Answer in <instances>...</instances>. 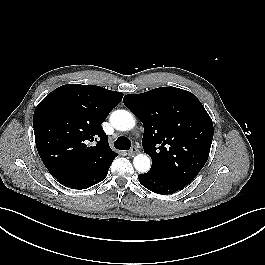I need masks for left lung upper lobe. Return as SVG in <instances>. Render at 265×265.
<instances>
[{"label":"left lung upper lobe","instance_id":"left-lung-upper-lobe-1","mask_svg":"<svg viewBox=\"0 0 265 265\" xmlns=\"http://www.w3.org/2000/svg\"><path fill=\"white\" fill-rule=\"evenodd\" d=\"M124 104L144 125L142 145L151 170L185 184L204 167L213 139V123L191 92L161 87L128 94Z\"/></svg>","mask_w":265,"mask_h":265}]
</instances>
